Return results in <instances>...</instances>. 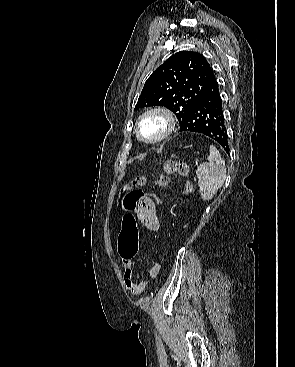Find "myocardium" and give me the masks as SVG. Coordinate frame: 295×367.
Wrapping results in <instances>:
<instances>
[{
    "instance_id": "myocardium-1",
    "label": "myocardium",
    "mask_w": 295,
    "mask_h": 367,
    "mask_svg": "<svg viewBox=\"0 0 295 367\" xmlns=\"http://www.w3.org/2000/svg\"><path fill=\"white\" fill-rule=\"evenodd\" d=\"M152 116L160 117L165 123V128L157 137L149 139L142 136L140 126L144 120ZM175 128L176 118L174 114L169 109L161 106H156L145 110L143 113L140 114L135 123V133L137 138L146 144H158L166 140L168 137L171 136Z\"/></svg>"
}]
</instances>
